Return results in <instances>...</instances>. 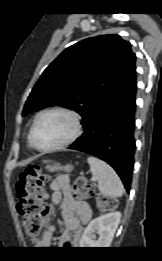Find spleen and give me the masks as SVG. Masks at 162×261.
<instances>
[{
	"label": "spleen",
	"mask_w": 162,
	"mask_h": 261,
	"mask_svg": "<svg viewBox=\"0 0 162 261\" xmlns=\"http://www.w3.org/2000/svg\"><path fill=\"white\" fill-rule=\"evenodd\" d=\"M87 162L93 177L98 181V189L103 195L111 197L123 195V184L111 166L94 156L88 157Z\"/></svg>",
	"instance_id": "3e777b00"
}]
</instances>
